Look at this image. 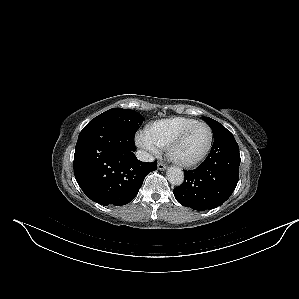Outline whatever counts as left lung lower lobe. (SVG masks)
<instances>
[{
  "label": "left lung lower lobe",
  "instance_id": "1",
  "mask_svg": "<svg viewBox=\"0 0 299 299\" xmlns=\"http://www.w3.org/2000/svg\"><path fill=\"white\" fill-rule=\"evenodd\" d=\"M239 146L229 130L214 135L211 152L195 170L184 171L183 184L174 189L177 201L194 210L221 206L233 193L239 179Z\"/></svg>",
  "mask_w": 299,
  "mask_h": 299
}]
</instances>
